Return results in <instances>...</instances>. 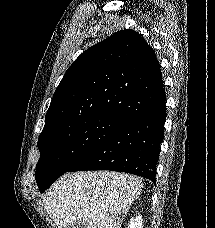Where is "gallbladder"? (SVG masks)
Segmentation results:
<instances>
[{
	"label": "gallbladder",
	"mask_w": 215,
	"mask_h": 228,
	"mask_svg": "<svg viewBox=\"0 0 215 228\" xmlns=\"http://www.w3.org/2000/svg\"><path fill=\"white\" fill-rule=\"evenodd\" d=\"M68 228H73V226H68Z\"/></svg>",
	"instance_id": "1"
}]
</instances>
